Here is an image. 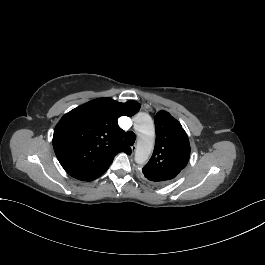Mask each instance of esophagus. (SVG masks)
I'll list each match as a JSON object with an SVG mask.
<instances>
[{"instance_id":"esophagus-1","label":"esophagus","mask_w":265,"mask_h":265,"mask_svg":"<svg viewBox=\"0 0 265 265\" xmlns=\"http://www.w3.org/2000/svg\"><path fill=\"white\" fill-rule=\"evenodd\" d=\"M136 144H134L132 147H131V149H132V152H135L136 151Z\"/></svg>"}]
</instances>
